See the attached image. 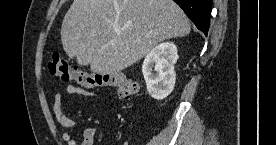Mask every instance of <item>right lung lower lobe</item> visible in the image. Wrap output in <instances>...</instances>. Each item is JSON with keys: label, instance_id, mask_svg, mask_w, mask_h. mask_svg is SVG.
Wrapping results in <instances>:
<instances>
[{"label": "right lung lower lobe", "instance_id": "obj_1", "mask_svg": "<svg viewBox=\"0 0 276 145\" xmlns=\"http://www.w3.org/2000/svg\"><path fill=\"white\" fill-rule=\"evenodd\" d=\"M192 20L196 27L207 35L210 25L212 0H173Z\"/></svg>", "mask_w": 276, "mask_h": 145}]
</instances>
